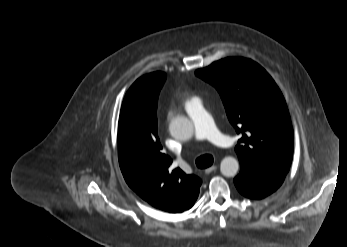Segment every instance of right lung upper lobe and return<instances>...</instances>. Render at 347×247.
Instances as JSON below:
<instances>
[{
    "label": "right lung upper lobe",
    "mask_w": 347,
    "mask_h": 247,
    "mask_svg": "<svg viewBox=\"0 0 347 247\" xmlns=\"http://www.w3.org/2000/svg\"><path fill=\"white\" fill-rule=\"evenodd\" d=\"M163 72L140 77L126 93L118 124V159L127 184L155 208L183 212L199 195L202 181L179 168L162 152L157 134V100Z\"/></svg>",
    "instance_id": "1"
}]
</instances>
